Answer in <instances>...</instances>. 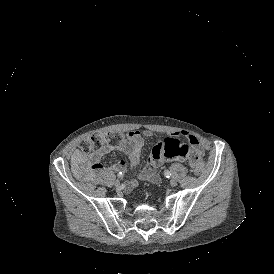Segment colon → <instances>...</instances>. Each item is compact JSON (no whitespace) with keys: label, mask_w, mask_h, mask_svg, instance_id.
I'll list each match as a JSON object with an SVG mask.
<instances>
[{"label":"colon","mask_w":274,"mask_h":274,"mask_svg":"<svg viewBox=\"0 0 274 274\" xmlns=\"http://www.w3.org/2000/svg\"><path fill=\"white\" fill-rule=\"evenodd\" d=\"M116 135L113 133L105 132H95L90 134L88 137L82 140L81 148L86 154H97L104 147L105 142L109 140L110 142L114 141ZM188 161L192 166H197L201 164L203 156L201 152L193 150L189 152Z\"/></svg>","instance_id":"obj_1"}]
</instances>
